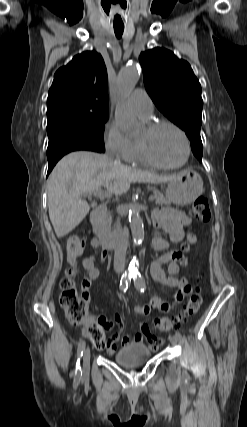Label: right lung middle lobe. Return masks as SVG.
I'll use <instances>...</instances> for the list:
<instances>
[{"label": "right lung middle lobe", "mask_w": 247, "mask_h": 427, "mask_svg": "<svg viewBox=\"0 0 247 427\" xmlns=\"http://www.w3.org/2000/svg\"><path fill=\"white\" fill-rule=\"evenodd\" d=\"M108 108H63L47 114L48 137L65 135L92 143L105 151L103 132Z\"/></svg>", "instance_id": "right-lung-middle-lobe-1"}]
</instances>
